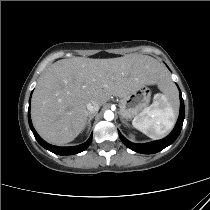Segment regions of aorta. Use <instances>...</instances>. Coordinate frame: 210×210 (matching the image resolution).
<instances>
[{
    "label": "aorta",
    "instance_id": "obj_1",
    "mask_svg": "<svg viewBox=\"0 0 210 210\" xmlns=\"http://www.w3.org/2000/svg\"><path fill=\"white\" fill-rule=\"evenodd\" d=\"M104 118H105V120H107V121H111V120H113V118H114V113H113L111 110H107V111L104 113Z\"/></svg>",
    "mask_w": 210,
    "mask_h": 210
}]
</instances>
